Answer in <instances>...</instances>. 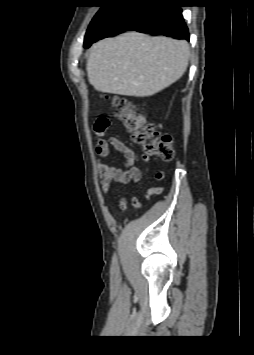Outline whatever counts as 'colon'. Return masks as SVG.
Masks as SVG:
<instances>
[{
  "mask_svg": "<svg viewBox=\"0 0 254 355\" xmlns=\"http://www.w3.org/2000/svg\"><path fill=\"white\" fill-rule=\"evenodd\" d=\"M112 102L117 117L130 132L132 141L143 147L147 157H155L163 161H171L173 159L172 138L169 134L160 132L151 124H146L135 113L134 106L128 99L114 96ZM108 123L107 119L100 118L96 122L95 128L102 131L106 129Z\"/></svg>",
  "mask_w": 254,
  "mask_h": 355,
  "instance_id": "1",
  "label": "colon"
}]
</instances>
